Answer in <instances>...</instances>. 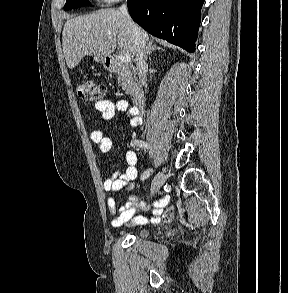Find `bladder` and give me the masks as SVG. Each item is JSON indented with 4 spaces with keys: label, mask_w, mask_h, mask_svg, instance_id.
I'll return each instance as SVG.
<instances>
[{
    "label": "bladder",
    "mask_w": 288,
    "mask_h": 293,
    "mask_svg": "<svg viewBox=\"0 0 288 293\" xmlns=\"http://www.w3.org/2000/svg\"><path fill=\"white\" fill-rule=\"evenodd\" d=\"M149 235V231L147 229H139L136 232V236L138 238H146Z\"/></svg>",
    "instance_id": "bladder-1"
}]
</instances>
